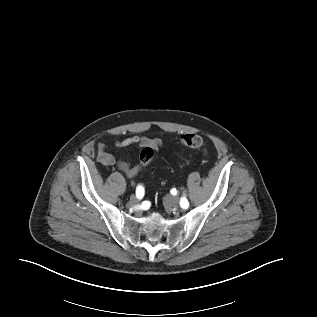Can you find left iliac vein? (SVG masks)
I'll list each match as a JSON object with an SVG mask.
<instances>
[{"label":"left iliac vein","instance_id":"4c4485c4","mask_svg":"<svg viewBox=\"0 0 317 317\" xmlns=\"http://www.w3.org/2000/svg\"><path fill=\"white\" fill-rule=\"evenodd\" d=\"M179 198L177 196H173V195H167L165 197V204L169 207H174L177 208L180 204L179 202Z\"/></svg>","mask_w":317,"mask_h":317}]
</instances>
